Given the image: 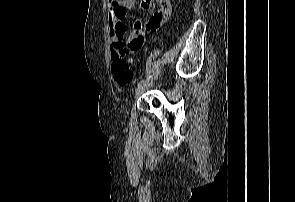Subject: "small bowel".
I'll use <instances>...</instances> for the list:
<instances>
[{"mask_svg":"<svg viewBox=\"0 0 295 202\" xmlns=\"http://www.w3.org/2000/svg\"><path fill=\"white\" fill-rule=\"evenodd\" d=\"M134 2L135 0H108L112 60L115 57V53L119 50L134 52L142 48L146 42L147 35L159 29L170 16V0H158L160 5L159 10L156 11L145 24L140 22L135 23L129 36L128 46L126 47L123 40L125 26L122 21L126 16L127 10L134 5ZM151 6L152 0H140V8L142 10H149Z\"/></svg>","mask_w":295,"mask_h":202,"instance_id":"obj_1","label":"small bowel"}]
</instances>
